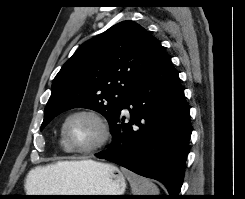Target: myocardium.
<instances>
[{
  "instance_id": "1",
  "label": "myocardium",
  "mask_w": 245,
  "mask_h": 199,
  "mask_svg": "<svg viewBox=\"0 0 245 199\" xmlns=\"http://www.w3.org/2000/svg\"><path fill=\"white\" fill-rule=\"evenodd\" d=\"M76 116H88L98 123L101 129V137L97 143H95L94 145L90 147H85V148H79L72 144L67 134V126L70 120ZM61 135H62L64 142L66 143L67 147L70 149L71 152L82 154V155H88V154L96 153L100 151L101 149H103L111 140L112 132H111L109 122L98 111L93 110V109H77V110L70 112L66 116L65 120L63 121L62 127H61Z\"/></svg>"
}]
</instances>
